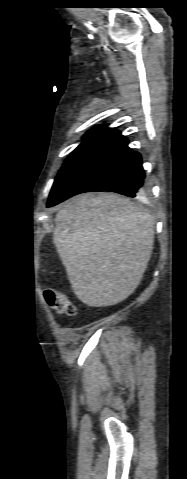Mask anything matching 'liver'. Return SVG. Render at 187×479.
I'll use <instances>...</instances> for the list:
<instances>
[{"label": "liver", "instance_id": "obj_1", "mask_svg": "<svg viewBox=\"0 0 187 479\" xmlns=\"http://www.w3.org/2000/svg\"><path fill=\"white\" fill-rule=\"evenodd\" d=\"M53 241L78 299L90 307L112 306L130 296L142 279L154 221L128 198L83 194L61 205Z\"/></svg>", "mask_w": 187, "mask_h": 479}]
</instances>
